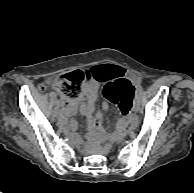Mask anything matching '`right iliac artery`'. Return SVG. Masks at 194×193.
Here are the masks:
<instances>
[{"mask_svg":"<svg viewBox=\"0 0 194 193\" xmlns=\"http://www.w3.org/2000/svg\"><path fill=\"white\" fill-rule=\"evenodd\" d=\"M61 99H63L62 95H61ZM59 115L63 116V110H60Z\"/></svg>","mask_w":194,"mask_h":193,"instance_id":"1","label":"right iliac artery"}]
</instances>
